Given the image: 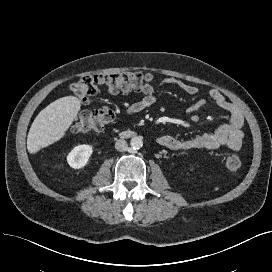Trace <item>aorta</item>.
Wrapping results in <instances>:
<instances>
[{"mask_svg": "<svg viewBox=\"0 0 272 272\" xmlns=\"http://www.w3.org/2000/svg\"><path fill=\"white\" fill-rule=\"evenodd\" d=\"M130 145L134 150L140 149L143 146L142 137L140 136L133 137L130 141Z\"/></svg>", "mask_w": 272, "mask_h": 272, "instance_id": "762f6f07", "label": "aorta"}]
</instances>
